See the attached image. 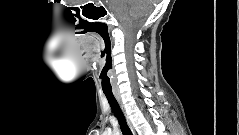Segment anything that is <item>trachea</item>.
<instances>
[{
    "mask_svg": "<svg viewBox=\"0 0 239 135\" xmlns=\"http://www.w3.org/2000/svg\"><path fill=\"white\" fill-rule=\"evenodd\" d=\"M105 96L110 104V107H111L113 113L115 114L116 118L118 119L120 129H121L123 135H132V132H131L130 128L128 127L127 122L125 120L124 114L121 111L119 104H118L117 100L115 99L113 93H105Z\"/></svg>",
    "mask_w": 239,
    "mask_h": 135,
    "instance_id": "3493384b",
    "label": "trachea"
}]
</instances>
